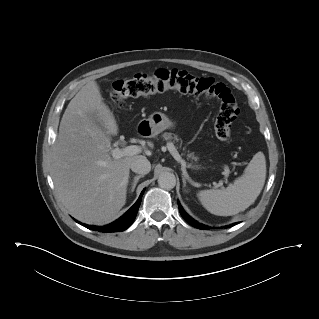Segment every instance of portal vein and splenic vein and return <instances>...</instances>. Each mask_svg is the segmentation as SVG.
<instances>
[{
    "label": "portal vein and splenic vein",
    "instance_id": "18ae733b",
    "mask_svg": "<svg viewBox=\"0 0 319 319\" xmlns=\"http://www.w3.org/2000/svg\"><path fill=\"white\" fill-rule=\"evenodd\" d=\"M168 151L174 157L175 160L181 163L183 167H187L186 161L182 159L180 154L178 153L177 149L175 148L173 143L167 144ZM142 152V148L137 145H130L124 148H115L110 151L112 157L114 159H120L126 156H134Z\"/></svg>",
    "mask_w": 319,
    "mask_h": 319
}]
</instances>
